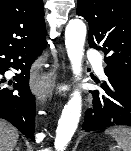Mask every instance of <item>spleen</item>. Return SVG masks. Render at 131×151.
I'll return each instance as SVG.
<instances>
[{"label":"spleen","instance_id":"obj_1","mask_svg":"<svg viewBox=\"0 0 131 151\" xmlns=\"http://www.w3.org/2000/svg\"><path fill=\"white\" fill-rule=\"evenodd\" d=\"M104 133L116 141L119 149H122V151H131V129L130 128L112 127V128L106 129ZM110 150L114 151V148L111 147Z\"/></svg>","mask_w":131,"mask_h":151}]
</instances>
